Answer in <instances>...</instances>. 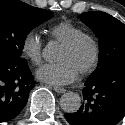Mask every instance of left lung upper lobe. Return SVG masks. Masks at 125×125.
Returning <instances> with one entry per match:
<instances>
[{"label": "left lung upper lobe", "mask_w": 125, "mask_h": 125, "mask_svg": "<svg viewBox=\"0 0 125 125\" xmlns=\"http://www.w3.org/2000/svg\"><path fill=\"white\" fill-rule=\"evenodd\" d=\"M79 17L99 39L98 66L89 79L113 68H125V25L100 11L84 12Z\"/></svg>", "instance_id": "1"}]
</instances>
